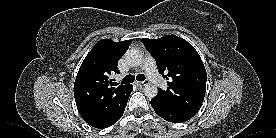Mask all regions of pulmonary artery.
Returning <instances> with one entry per match:
<instances>
[{
  "label": "pulmonary artery",
  "mask_w": 276,
  "mask_h": 138,
  "mask_svg": "<svg viewBox=\"0 0 276 138\" xmlns=\"http://www.w3.org/2000/svg\"><path fill=\"white\" fill-rule=\"evenodd\" d=\"M142 68L148 76L151 83L158 87H162L165 84L164 79L158 73L156 63L151 56H147L143 62Z\"/></svg>",
  "instance_id": "e3ab8cb5"
}]
</instances>
